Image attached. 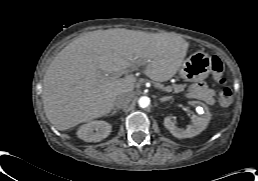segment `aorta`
<instances>
[{"mask_svg":"<svg viewBox=\"0 0 258 181\" xmlns=\"http://www.w3.org/2000/svg\"><path fill=\"white\" fill-rule=\"evenodd\" d=\"M138 104L141 108H146L150 105V98L147 96H142L139 98Z\"/></svg>","mask_w":258,"mask_h":181,"instance_id":"aorta-1","label":"aorta"}]
</instances>
